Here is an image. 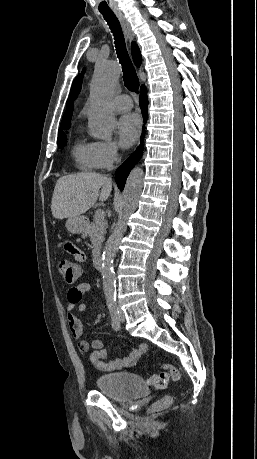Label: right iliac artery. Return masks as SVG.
I'll list each match as a JSON object with an SVG mask.
<instances>
[{
	"mask_svg": "<svg viewBox=\"0 0 257 459\" xmlns=\"http://www.w3.org/2000/svg\"><path fill=\"white\" fill-rule=\"evenodd\" d=\"M107 304L111 315L112 320V328L115 331H119L120 329V319H119V310L116 303L115 296H108L107 297Z\"/></svg>",
	"mask_w": 257,
	"mask_h": 459,
	"instance_id": "82829eb1",
	"label": "right iliac artery"
}]
</instances>
